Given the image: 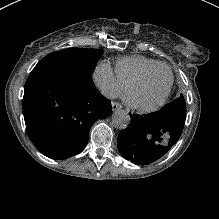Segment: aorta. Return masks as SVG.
<instances>
[{
  "label": "aorta",
  "instance_id": "obj_1",
  "mask_svg": "<svg viewBox=\"0 0 219 219\" xmlns=\"http://www.w3.org/2000/svg\"><path fill=\"white\" fill-rule=\"evenodd\" d=\"M131 121L130 115L125 110H116L112 115V125L117 129H125Z\"/></svg>",
  "mask_w": 219,
  "mask_h": 219
}]
</instances>
